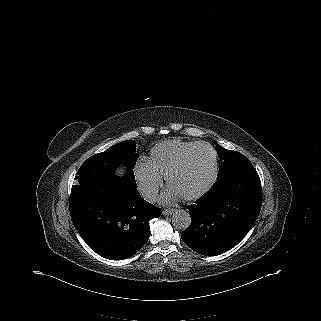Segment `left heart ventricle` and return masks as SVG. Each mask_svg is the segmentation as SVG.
<instances>
[{
	"instance_id": "left-heart-ventricle-1",
	"label": "left heart ventricle",
	"mask_w": 321,
	"mask_h": 321,
	"mask_svg": "<svg viewBox=\"0 0 321 321\" xmlns=\"http://www.w3.org/2000/svg\"><path fill=\"white\" fill-rule=\"evenodd\" d=\"M213 169L212 152L208 148H198L192 153L186 166L173 176L170 187L181 196L193 194L209 182Z\"/></svg>"
}]
</instances>
